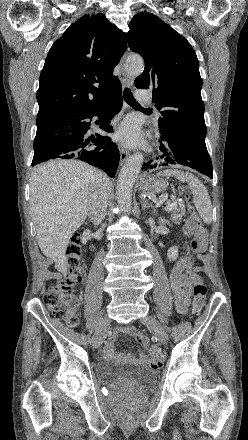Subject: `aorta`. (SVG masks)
<instances>
[{"instance_id":"aorta-1","label":"aorta","mask_w":248,"mask_h":440,"mask_svg":"<svg viewBox=\"0 0 248 440\" xmlns=\"http://www.w3.org/2000/svg\"><path fill=\"white\" fill-rule=\"evenodd\" d=\"M125 69L132 76H139L144 70V61L139 56H130L125 61ZM143 155L135 153L129 157L122 167L117 181L116 198L123 210L131 206L132 190L135 180L142 167Z\"/></svg>"}]
</instances>
